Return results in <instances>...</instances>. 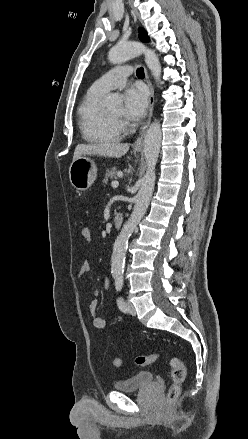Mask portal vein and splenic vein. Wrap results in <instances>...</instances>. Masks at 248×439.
I'll return each mask as SVG.
<instances>
[{"label": "portal vein and splenic vein", "mask_w": 248, "mask_h": 439, "mask_svg": "<svg viewBox=\"0 0 248 439\" xmlns=\"http://www.w3.org/2000/svg\"><path fill=\"white\" fill-rule=\"evenodd\" d=\"M111 186H112L113 188H117V187L119 186V182H118V181H113V182L111 183Z\"/></svg>", "instance_id": "1"}]
</instances>
